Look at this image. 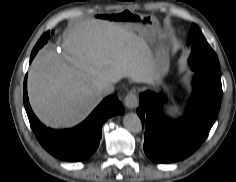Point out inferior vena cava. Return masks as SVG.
I'll list each match as a JSON object with an SVG mask.
<instances>
[{
	"label": "inferior vena cava",
	"instance_id": "inferior-vena-cava-1",
	"mask_svg": "<svg viewBox=\"0 0 236 182\" xmlns=\"http://www.w3.org/2000/svg\"><path fill=\"white\" fill-rule=\"evenodd\" d=\"M101 93L105 95H109L113 93L114 91V86L111 83H106L100 88Z\"/></svg>",
	"mask_w": 236,
	"mask_h": 182
}]
</instances>
